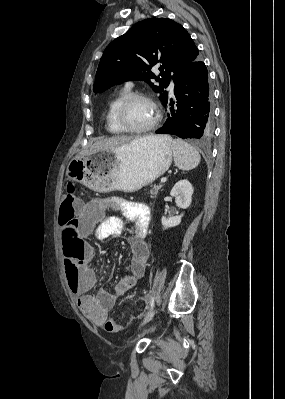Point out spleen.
Returning a JSON list of instances; mask_svg holds the SVG:
<instances>
[{
	"label": "spleen",
	"instance_id": "3e777b00",
	"mask_svg": "<svg viewBox=\"0 0 285 399\" xmlns=\"http://www.w3.org/2000/svg\"><path fill=\"white\" fill-rule=\"evenodd\" d=\"M170 141L172 143L175 166L184 171H189L199 165L201 157L193 146L179 138H170Z\"/></svg>",
	"mask_w": 285,
	"mask_h": 399
}]
</instances>
